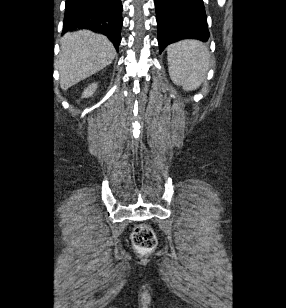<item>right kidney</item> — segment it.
<instances>
[{
    "instance_id": "obj_1",
    "label": "right kidney",
    "mask_w": 286,
    "mask_h": 308,
    "mask_svg": "<svg viewBox=\"0 0 286 308\" xmlns=\"http://www.w3.org/2000/svg\"><path fill=\"white\" fill-rule=\"evenodd\" d=\"M97 89V84L93 83L91 85H89L82 93V97L83 98H87L93 95V93L96 91Z\"/></svg>"
}]
</instances>
